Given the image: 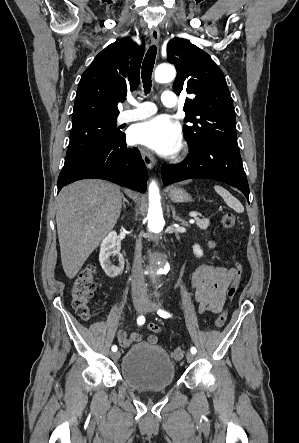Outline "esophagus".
Instances as JSON below:
<instances>
[{
    "instance_id": "34e87169",
    "label": "esophagus",
    "mask_w": 299,
    "mask_h": 443,
    "mask_svg": "<svg viewBox=\"0 0 299 443\" xmlns=\"http://www.w3.org/2000/svg\"><path fill=\"white\" fill-rule=\"evenodd\" d=\"M150 38L153 44H158L160 40V32L158 28H152L150 31ZM142 158L148 169H152L155 166V159L151 152L145 148H141Z\"/></svg>"
}]
</instances>
